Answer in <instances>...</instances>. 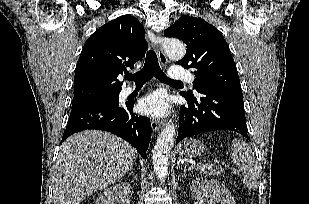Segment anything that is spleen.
Here are the masks:
<instances>
[{"label": "spleen", "instance_id": "obj_1", "mask_svg": "<svg viewBox=\"0 0 309 204\" xmlns=\"http://www.w3.org/2000/svg\"><path fill=\"white\" fill-rule=\"evenodd\" d=\"M231 159L242 171L243 183L249 190L256 191L259 185L260 169L250 147L241 139L231 142Z\"/></svg>", "mask_w": 309, "mask_h": 204}]
</instances>
